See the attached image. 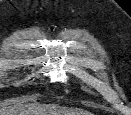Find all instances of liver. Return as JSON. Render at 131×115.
Returning a JSON list of instances; mask_svg holds the SVG:
<instances>
[{
  "label": "liver",
  "mask_w": 131,
  "mask_h": 115,
  "mask_svg": "<svg viewBox=\"0 0 131 115\" xmlns=\"http://www.w3.org/2000/svg\"><path fill=\"white\" fill-rule=\"evenodd\" d=\"M69 115L76 114L74 111H67L56 106H44L38 104H23L14 102L13 105L0 108V115ZM89 115V113H86Z\"/></svg>",
  "instance_id": "1"
}]
</instances>
